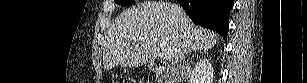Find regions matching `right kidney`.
Segmentation results:
<instances>
[{"mask_svg": "<svg viewBox=\"0 0 307 83\" xmlns=\"http://www.w3.org/2000/svg\"><path fill=\"white\" fill-rule=\"evenodd\" d=\"M213 74L211 62L208 59L200 60L192 71L190 83H212Z\"/></svg>", "mask_w": 307, "mask_h": 83, "instance_id": "obj_1", "label": "right kidney"}]
</instances>
